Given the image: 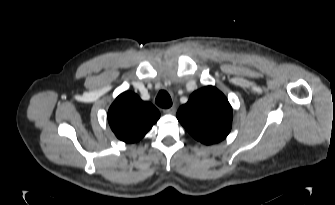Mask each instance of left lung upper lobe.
Returning a JSON list of instances; mask_svg holds the SVG:
<instances>
[{
	"label": "left lung upper lobe",
	"instance_id": "5c2ea615",
	"mask_svg": "<svg viewBox=\"0 0 335 205\" xmlns=\"http://www.w3.org/2000/svg\"><path fill=\"white\" fill-rule=\"evenodd\" d=\"M178 121L198 141L210 145L223 140L232 125V108L215 87L193 92L177 112Z\"/></svg>",
	"mask_w": 335,
	"mask_h": 205
}]
</instances>
